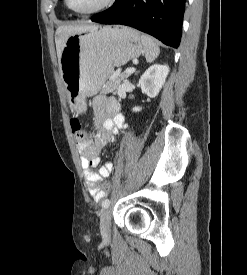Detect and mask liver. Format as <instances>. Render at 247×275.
Segmentation results:
<instances>
[{"mask_svg": "<svg viewBox=\"0 0 247 275\" xmlns=\"http://www.w3.org/2000/svg\"><path fill=\"white\" fill-rule=\"evenodd\" d=\"M97 28L96 25H66L60 26L56 30V50H57V57L60 66V58L62 54V50L65 46L66 40L68 37L78 33H84L90 31L92 29ZM61 72V68H60ZM62 75V72H61Z\"/></svg>", "mask_w": 247, "mask_h": 275, "instance_id": "liver-1", "label": "liver"}]
</instances>
